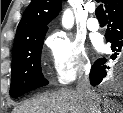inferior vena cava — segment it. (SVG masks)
Wrapping results in <instances>:
<instances>
[{
  "mask_svg": "<svg viewBox=\"0 0 123 113\" xmlns=\"http://www.w3.org/2000/svg\"><path fill=\"white\" fill-rule=\"evenodd\" d=\"M77 92L86 100L89 105V113H101L100 108L94 102V92L91 89L89 80V68L81 74L77 84Z\"/></svg>",
  "mask_w": 123,
  "mask_h": 113,
  "instance_id": "602c4592",
  "label": "inferior vena cava"
}]
</instances>
